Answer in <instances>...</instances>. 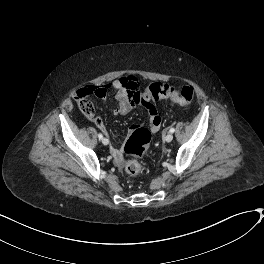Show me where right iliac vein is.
<instances>
[{"label": "right iliac vein", "instance_id": "right-iliac-vein-1", "mask_svg": "<svg viewBox=\"0 0 264 264\" xmlns=\"http://www.w3.org/2000/svg\"><path fill=\"white\" fill-rule=\"evenodd\" d=\"M102 143H103L104 145H108L109 140H108L107 138H103V139H102Z\"/></svg>", "mask_w": 264, "mask_h": 264}]
</instances>
